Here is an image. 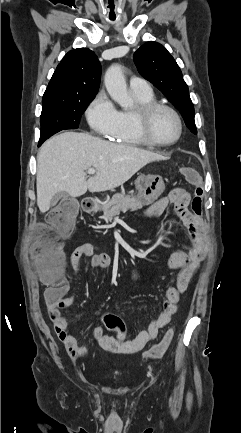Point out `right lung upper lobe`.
<instances>
[{
  "label": "right lung upper lobe",
  "mask_w": 241,
  "mask_h": 433,
  "mask_svg": "<svg viewBox=\"0 0 241 433\" xmlns=\"http://www.w3.org/2000/svg\"><path fill=\"white\" fill-rule=\"evenodd\" d=\"M100 76L101 65L95 53L87 48L74 49L57 66L43 101L94 98L99 89Z\"/></svg>",
  "instance_id": "cb5924a9"
}]
</instances>
